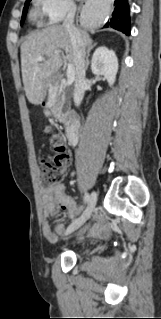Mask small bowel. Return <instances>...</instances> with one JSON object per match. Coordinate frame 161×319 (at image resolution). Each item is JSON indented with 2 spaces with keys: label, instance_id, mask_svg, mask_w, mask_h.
<instances>
[{
  "label": "small bowel",
  "instance_id": "1",
  "mask_svg": "<svg viewBox=\"0 0 161 319\" xmlns=\"http://www.w3.org/2000/svg\"><path fill=\"white\" fill-rule=\"evenodd\" d=\"M63 206L67 209L68 215L73 217L82 211V208H78L75 201L66 194V184L64 182H58L56 184L45 186L42 190V207L46 217L51 216L56 211V206ZM89 228V224L86 225L80 232L83 234ZM65 227L62 223H59L53 231L47 221L43 223L42 232L44 236L51 242H55L58 236L63 234ZM110 232L109 225L104 221L102 217L98 218L97 224L92 228L91 235L99 236L102 234H108Z\"/></svg>",
  "mask_w": 161,
  "mask_h": 319
}]
</instances>
